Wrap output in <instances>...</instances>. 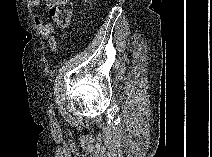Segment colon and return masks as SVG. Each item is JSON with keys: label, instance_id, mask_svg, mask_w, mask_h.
Masks as SVG:
<instances>
[{"label": "colon", "instance_id": "obj_1", "mask_svg": "<svg viewBox=\"0 0 212 157\" xmlns=\"http://www.w3.org/2000/svg\"><path fill=\"white\" fill-rule=\"evenodd\" d=\"M50 7V16L56 26L65 31L68 29L71 21L72 4L67 0H56L48 2Z\"/></svg>", "mask_w": 212, "mask_h": 157}]
</instances>
